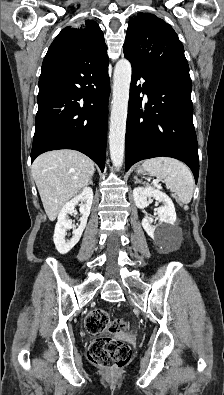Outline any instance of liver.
Listing matches in <instances>:
<instances>
[{
	"instance_id": "6515ba94",
	"label": "liver",
	"mask_w": 224,
	"mask_h": 395,
	"mask_svg": "<svg viewBox=\"0 0 224 395\" xmlns=\"http://www.w3.org/2000/svg\"><path fill=\"white\" fill-rule=\"evenodd\" d=\"M94 172V162L74 150L49 151L35 159L32 176L50 221H54L64 205L88 185Z\"/></svg>"
}]
</instances>
